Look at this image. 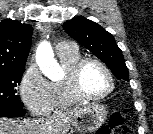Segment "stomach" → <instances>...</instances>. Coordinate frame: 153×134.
Here are the masks:
<instances>
[{
	"mask_svg": "<svg viewBox=\"0 0 153 134\" xmlns=\"http://www.w3.org/2000/svg\"><path fill=\"white\" fill-rule=\"evenodd\" d=\"M106 118V107L101 104H92L83 108L82 112L74 119L72 125L78 134H87L98 130Z\"/></svg>",
	"mask_w": 153,
	"mask_h": 134,
	"instance_id": "obj_1",
	"label": "stomach"
}]
</instances>
